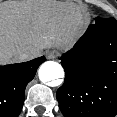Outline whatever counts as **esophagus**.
<instances>
[{"label": "esophagus", "mask_w": 117, "mask_h": 117, "mask_svg": "<svg viewBox=\"0 0 117 117\" xmlns=\"http://www.w3.org/2000/svg\"><path fill=\"white\" fill-rule=\"evenodd\" d=\"M46 57H47V59H55V57H56V52H55V51H48V52L46 53Z\"/></svg>", "instance_id": "obj_1"}]
</instances>
